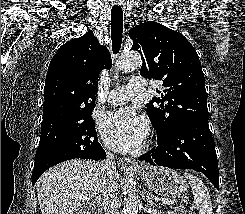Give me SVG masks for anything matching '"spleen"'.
<instances>
[{
  "instance_id": "3e777b00",
  "label": "spleen",
  "mask_w": 245,
  "mask_h": 214,
  "mask_svg": "<svg viewBox=\"0 0 245 214\" xmlns=\"http://www.w3.org/2000/svg\"><path fill=\"white\" fill-rule=\"evenodd\" d=\"M184 175L191 185L194 201L198 206L199 214H212L213 208L211 197L202 180L188 172H185Z\"/></svg>"
}]
</instances>
